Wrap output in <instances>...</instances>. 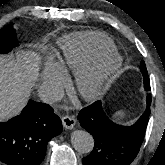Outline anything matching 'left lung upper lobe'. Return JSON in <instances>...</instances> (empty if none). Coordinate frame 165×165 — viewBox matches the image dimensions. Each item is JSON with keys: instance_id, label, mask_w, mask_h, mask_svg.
Returning a JSON list of instances; mask_svg holds the SVG:
<instances>
[{"instance_id": "1", "label": "left lung upper lobe", "mask_w": 165, "mask_h": 165, "mask_svg": "<svg viewBox=\"0 0 165 165\" xmlns=\"http://www.w3.org/2000/svg\"><path fill=\"white\" fill-rule=\"evenodd\" d=\"M140 70H141L143 78H144V88H145V90L149 91L150 90V80H149L148 72H147L146 65H145L144 61H142L140 63ZM147 102L149 104L151 103V97L147 98Z\"/></svg>"}]
</instances>
